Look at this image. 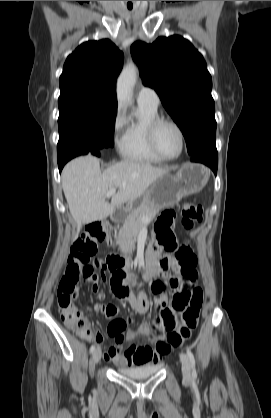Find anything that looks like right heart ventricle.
<instances>
[{"label":"right heart ventricle","instance_id":"obj_1","mask_svg":"<svg viewBox=\"0 0 271 418\" xmlns=\"http://www.w3.org/2000/svg\"><path fill=\"white\" fill-rule=\"evenodd\" d=\"M157 117V108L146 104H138L135 118L125 123V130L121 139L120 152L125 159L145 163H161L164 161L152 151L147 136L150 122Z\"/></svg>","mask_w":271,"mask_h":418}]
</instances>
